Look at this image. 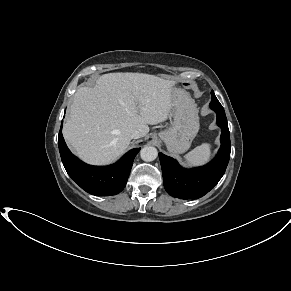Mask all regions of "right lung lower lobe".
Returning <instances> with one entry per match:
<instances>
[{
  "label": "right lung lower lobe",
  "mask_w": 291,
  "mask_h": 291,
  "mask_svg": "<svg viewBox=\"0 0 291 291\" xmlns=\"http://www.w3.org/2000/svg\"><path fill=\"white\" fill-rule=\"evenodd\" d=\"M58 146L68 175L83 190L96 196H111L123 190L133 160L140 150V148L130 150L117 163L110 166H91L80 161L70 152L62 135V127L59 131Z\"/></svg>",
  "instance_id": "98d812e1"
}]
</instances>
